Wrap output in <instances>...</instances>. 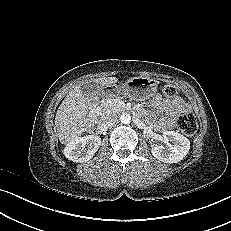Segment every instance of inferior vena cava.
Listing matches in <instances>:
<instances>
[{
    "instance_id": "602c4592",
    "label": "inferior vena cava",
    "mask_w": 231,
    "mask_h": 231,
    "mask_svg": "<svg viewBox=\"0 0 231 231\" xmlns=\"http://www.w3.org/2000/svg\"><path fill=\"white\" fill-rule=\"evenodd\" d=\"M116 121H117V115H115V114H108V115H105L102 118V125H104L105 127H110L113 124H115Z\"/></svg>"
}]
</instances>
